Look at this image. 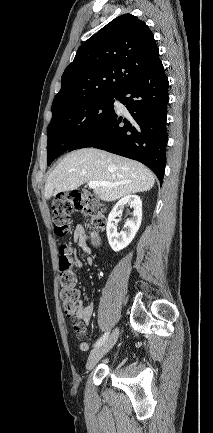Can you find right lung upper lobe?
I'll list each match as a JSON object with an SVG mask.
<instances>
[{"label": "right lung upper lobe", "instance_id": "obj_1", "mask_svg": "<svg viewBox=\"0 0 213 433\" xmlns=\"http://www.w3.org/2000/svg\"><path fill=\"white\" fill-rule=\"evenodd\" d=\"M159 58L148 26L131 14L121 15L77 51L61 78L52 114L65 106L99 95H121Z\"/></svg>", "mask_w": 213, "mask_h": 433}]
</instances>
